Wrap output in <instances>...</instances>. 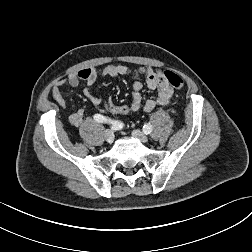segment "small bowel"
Wrapping results in <instances>:
<instances>
[{"instance_id": "c3829d8e", "label": "small bowel", "mask_w": 252, "mask_h": 252, "mask_svg": "<svg viewBox=\"0 0 252 252\" xmlns=\"http://www.w3.org/2000/svg\"><path fill=\"white\" fill-rule=\"evenodd\" d=\"M137 72L145 77L146 85L151 90H156L157 94L147 99L142 105L144 111L150 112L156 107L167 106L171 102L173 89L164 78V73L161 70L147 66L137 70ZM132 73V70L121 64L108 65L101 74L95 68H85L78 72L70 74L66 79L59 81L52 88V98L63 108H67V102L62 94V88L68 84L71 87H78L81 82H85L82 93L87 97L92 106L101 113H105L102 107V101L99 97L93 94V85L101 77L116 78L119 76H127ZM142 83L138 80L133 82L131 99H138L140 106ZM101 115V114H100ZM69 123L73 126H80L84 121V110L79 109L72 113L69 118Z\"/></svg>"}]
</instances>
